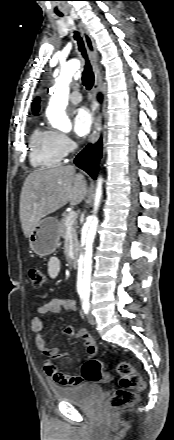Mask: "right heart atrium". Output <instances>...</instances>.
I'll use <instances>...</instances> for the list:
<instances>
[{
	"label": "right heart atrium",
	"mask_w": 174,
	"mask_h": 440,
	"mask_svg": "<svg viewBox=\"0 0 174 440\" xmlns=\"http://www.w3.org/2000/svg\"><path fill=\"white\" fill-rule=\"evenodd\" d=\"M55 142L57 149L63 158L67 157L74 149V143L66 133L55 132Z\"/></svg>",
	"instance_id": "d8ad5b80"
}]
</instances>
